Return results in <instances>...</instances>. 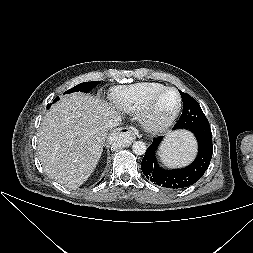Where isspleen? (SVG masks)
<instances>
[{"mask_svg": "<svg viewBox=\"0 0 253 253\" xmlns=\"http://www.w3.org/2000/svg\"><path fill=\"white\" fill-rule=\"evenodd\" d=\"M196 153V141L187 132L169 135L162 144L159 156L164 165L183 166L189 163Z\"/></svg>", "mask_w": 253, "mask_h": 253, "instance_id": "spleen-1", "label": "spleen"}]
</instances>
